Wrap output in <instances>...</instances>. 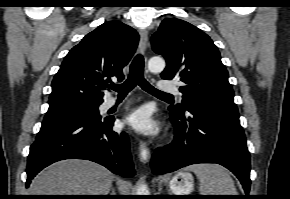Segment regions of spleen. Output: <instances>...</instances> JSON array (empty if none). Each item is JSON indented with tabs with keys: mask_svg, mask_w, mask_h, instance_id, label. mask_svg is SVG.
I'll return each instance as SVG.
<instances>
[{
	"mask_svg": "<svg viewBox=\"0 0 290 199\" xmlns=\"http://www.w3.org/2000/svg\"><path fill=\"white\" fill-rule=\"evenodd\" d=\"M187 170L194 172L197 176L201 195H237L233 179L222 166L194 164Z\"/></svg>",
	"mask_w": 290,
	"mask_h": 199,
	"instance_id": "obj_1",
	"label": "spleen"
}]
</instances>
